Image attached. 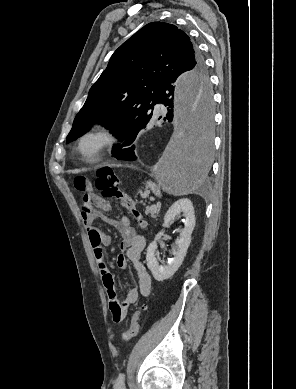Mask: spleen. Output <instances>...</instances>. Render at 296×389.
<instances>
[{
	"instance_id": "1",
	"label": "spleen",
	"mask_w": 296,
	"mask_h": 389,
	"mask_svg": "<svg viewBox=\"0 0 296 389\" xmlns=\"http://www.w3.org/2000/svg\"><path fill=\"white\" fill-rule=\"evenodd\" d=\"M193 180H194L193 183H195V180H196V179L193 178ZM146 185L151 189V191H152L156 196H158V197H161V196H162L161 190H160L159 186H157L155 183H153V182H151V181H148V182L146 183Z\"/></svg>"
}]
</instances>
